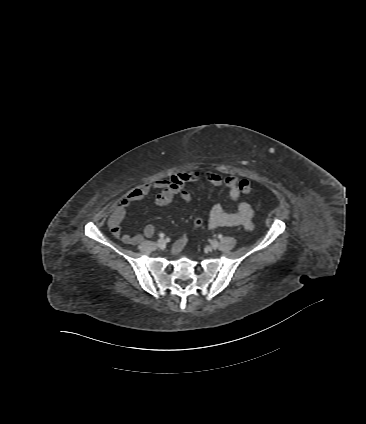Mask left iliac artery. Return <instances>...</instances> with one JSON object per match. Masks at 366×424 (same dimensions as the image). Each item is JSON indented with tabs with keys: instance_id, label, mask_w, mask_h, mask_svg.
<instances>
[{
	"instance_id": "44dca946",
	"label": "left iliac artery",
	"mask_w": 366,
	"mask_h": 424,
	"mask_svg": "<svg viewBox=\"0 0 366 424\" xmlns=\"http://www.w3.org/2000/svg\"><path fill=\"white\" fill-rule=\"evenodd\" d=\"M222 237H223V236H222V234H219V235H218V238H219V239H222Z\"/></svg>"
}]
</instances>
